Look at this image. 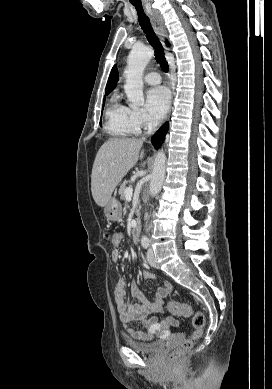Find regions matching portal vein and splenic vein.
Instances as JSON below:
<instances>
[{
    "mask_svg": "<svg viewBox=\"0 0 272 389\" xmlns=\"http://www.w3.org/2000/svg\"><path fill=\"white\" fill-rule=\"evenodd\" d=\"M132 194H133V189H132V187H128V188L125 189V196H126V197H131Z\"/></svg>",
    "mask_w": 272,
    "mask_h": 389,
    "instance_id": "18ae733b",
    "label": "portal vein and splenic vein"
}]
</instances>
